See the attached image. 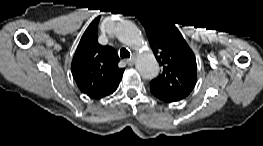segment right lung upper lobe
Segmentation results:
<instances>
[{"label":"right lung upper lobe","mask_w":263,"mask_h":146,"mask_svg":"<svg viewBox=\"0 0 263 146\" xmlns=\"http://www.w3.org/2000/svg\"><path fill=\"white\" fill-rule=\"evenodd\" d=\"M97 22L84 32L74 54L71 71L81 92L93 99L112 94L118 87L123 68L114 48L101 46L97 40Z\"/></svg>","instance_id":"cb5924a9"}]
</instances>
